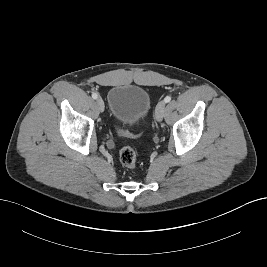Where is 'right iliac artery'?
Masks as SVG:
<instances>
[{"instance_id": "right-iliac-artery-1", "label": "right iliac artery", "mask_w": 267, "mask_h": 267, "mask_svg": "<svg viewBox=\"0 0 267 267\" xmlns=\"http://www.w3.org/2000/svg\"><path fill=\"white\" fill-rule=\"evenodd\" d=\"M92 98L93 99H97L98 98V94L97 93H92Z\"/></svg>"}]
</instances>
